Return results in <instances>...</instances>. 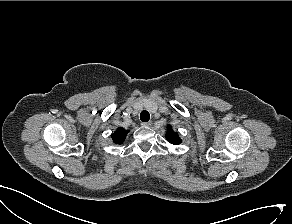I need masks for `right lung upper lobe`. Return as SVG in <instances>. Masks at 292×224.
Segmentation results:
<instances>
[{
	"mask_svg": "<svg viewBox=\"0 0 292 224\" xmlns=\"http://www.w3.org/2000/svg\"><path fill=\"white\" fill-rule=\"evenodd\" d=\"M129 131L125 130L122 127H119L113 134H112V140L116 144H121L124 142L125 137Z\"/></svg>",
	"mask_w": 292,
	"mask_h": 224,
	"instance_id": "cb5924a9",
	"label": "right lung upper lobe"
}]
</instances>
